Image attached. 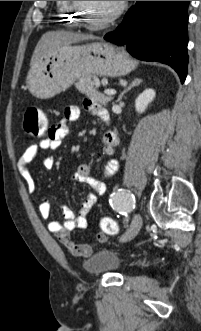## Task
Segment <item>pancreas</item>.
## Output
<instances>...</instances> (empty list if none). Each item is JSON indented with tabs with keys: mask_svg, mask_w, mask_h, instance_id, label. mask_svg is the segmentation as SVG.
Masks as SVG:
<instances>
[{
	"mask_svg": "<svg viewBox=\"0 0 201 331\" xmlns=\"http://www.w3.org/2000/svg\"><path fill=\"white\" fill-rule=\"evenodd\" d=\"M92 76L80 78L76 83V88L83 94L95 99L101 104L105 105L112 101V97L104 96L95 88L96 82L91 79Z\"/></svg>",
	"mask_w": 201,
	"mask_h": 331,
	"instance_id": "1",
	"label": "pancreas"
}]
</instances>
